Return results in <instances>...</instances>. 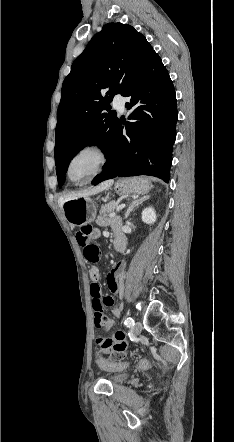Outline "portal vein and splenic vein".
Returning a JSON list of instances; mask_svg holds the SVG:
<instances>
[{"instance_id": "1", "label": "portal vein and splenic vein", "mask_w": 234, "mask_h": 442, "mask_svg": "<svg viewBox=\"0 0 234 442\" xmlns=\"http://www.w3.org/2000/svg\"><path fill=\"white\" fill-rule=\"evenodd\" d=\"M124 207H125V204H121V205H119V206L116 208V212L122 210ZM113 215H114V213L110 214V216H113Z\"/></svg>"}]
</instances>
